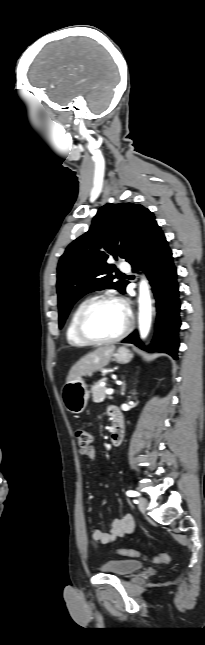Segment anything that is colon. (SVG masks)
I'll return each mask as SVG.
<instances>
[{
    "label": "colon",
    "mask_w": 205,
    "mask_h": 645,
    "mask_svg": "<svg viewBox=\"0 0 205 645\" xmlns=\"http://www.w3.org/2000/svg\"><path fill=\"white\" fill-rule=\"evenodd\" d=\"M75 436L77 439V443L81 448H87L91 444L92 437L90 432L86 428H83V427L77 428L75 430ZM118 553L122 555L132 556V557L140 555L138 551L132 550V549H119ZM154 560L156 562L165 564V563H168L169 561V555L167 553H160L154 557Z\"/></svg>",
    "instance_id": "5ec220e1"
}]
</instances>
